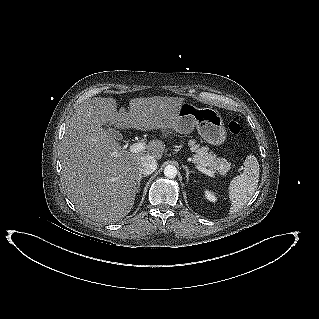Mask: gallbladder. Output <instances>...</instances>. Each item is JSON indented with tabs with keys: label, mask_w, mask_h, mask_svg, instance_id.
Returning a JSON list of instances; mask_svg holds the SVG:
<instances>
[{
	"label": "gallbladder",
	"mask_w": 319,
	"mask_h": 319,
	"mask_svg": "<svg viewBox=\"0 0 319 319\" xmlns=\"http://www.w3.org/2000/svg\"><path fill=\"white\" fill-rule=\"evenodd\" d=\"M107 131L111 134L112 137H114L117 140H122V135L119 133L118 130H116L113 127H108Z\"/></svg>",
	"instance_id": "bac80fb5"
}]
</instances>
